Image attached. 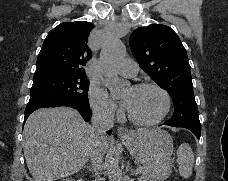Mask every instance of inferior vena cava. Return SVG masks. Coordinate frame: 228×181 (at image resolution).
I'll return each instance as SVG.
<instances>
[{"instance_id": "602c4592", "label": "inferior vena cava", "mask_w": 228, "mask_h": 181, "mask_svg": "<svg viewBox=\"0 0 228 181\" xmlns=\"http://www.w3.org/2000/svg\"><path fill=\"white\" fill-rule=\"evenodd\" d=\"M92 111V133L96 135L98 141L91 151L90 159L93 165V173L98 175L105 157V149L102 147L101 141L105 139L107 131H110L114 125V113L109 109H105L104 105H93Z\"/></svg>"}]
</instances>
